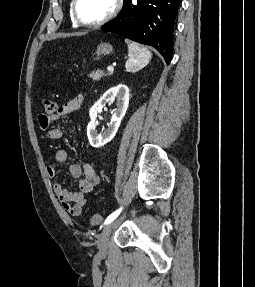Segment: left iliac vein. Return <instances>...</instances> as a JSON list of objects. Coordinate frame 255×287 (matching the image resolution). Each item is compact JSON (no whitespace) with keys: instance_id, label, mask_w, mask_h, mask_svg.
<instances>
[{"instance_id":"left-iliac-vein-1","label":"left iliac vein","mask_w":255,"mask_h":287,"mask_svg":"<svg viewBox=\"0 0 255 287\" xmlns=\"http://www.w3.org/2000/svg\"><path fill=\"white\" fill-rule=\"evenodd\" d=\"M114 225H115L114 221L108 223L103 228V230L99 236L97 246H98L100 254H102V255H104L107 252L108 244H109V237H110V234L114 228Z\"/></svg>"}]
</instances>
